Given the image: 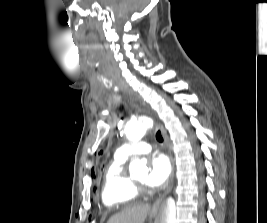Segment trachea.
I'll return each mask as SVG.
<instances>
[{
  "mask_svg": "<svg viewBox=\"0 0 267 223\" xmlns=\"http://www.w3.org/2000/svg\"><path fill=\"white\" fill-rule=\"evenodd\" d=\"M156 139L158 142H163V137L160 130H158L156 133Z\"/></svg>",
  "mask_w": 267,
  "mask_h": 223,
  "instance_id": "1",
  "label": "trachea"
}]
</instances>
